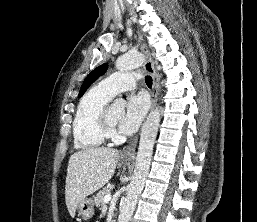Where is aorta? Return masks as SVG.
Listing matches in <instances>:
<instances>
[{"label": "aorta", "mask_w": 257, "mask_h": 222, "mask_svg": "<svg viewBox=\"0 0 257 222\" xmlns=\"http://www.w3.org/2000/svg\"><path fill=\"white\" fill-rule=\"evenodd\" d=\"M143 63V55L137 51H129L119 57L116 68L127 71L138 68ZM114 106L118 109L125 107V101L117 98ZM160 111L158 108L151 111L142 126L136 163L131 182L128 186L126 197L120 206L118 222H129L135 210L138 198L144 188L145 180L149 172L152 151L160 124Z\"/></svg>", "instance_id": "1"}]
</instances>
